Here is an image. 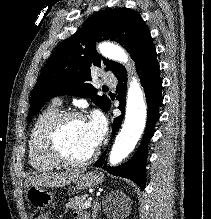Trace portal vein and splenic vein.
Segmentation results:
<instances>
[{
  "mask_svg": "<svg viewBox=\"0 0 211 219\" xmlns=\"http://www.w3.org/2000/svg\"><path fill=\"white\" fill-rule=\"evenodd\" d=\"M91 202H92V197H90L86 202L85 204L83 205L82 209H87L90 207L91 205Z\"/></svg>",
  "mask_w": 211,
  "mask_h": 219,
  "instance_id": "18ae733b",
  "label": "portal vein and splenic vein"
}]
</instances>
